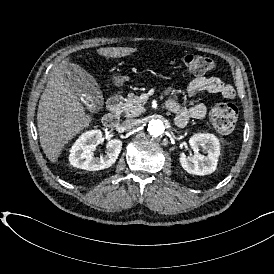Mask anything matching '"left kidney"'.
Instances as JSON below:
<instances>
[{
    "instance_id": "5707ae66",
    "label": "left kidney",
    "mask_w": 274,
    "mask_h": 274,
    "mask_svg": "<svg viewBox=\"0 0 274 274\" xmlns=\"http://www.w3.org/2000/svg\"><path fill=\"white\" fill-rule=\"evenodd\" d=\"M189 144L194 151L192 157L181 154L179 161L182 168L190 174L207 175L213 173L217 168V162L220 155V141L210 133H197L190 137ZM202 148L207 156L199 153Z\"/></svg>"
}]
</instances>
